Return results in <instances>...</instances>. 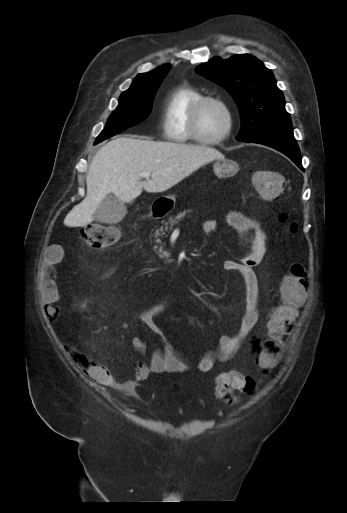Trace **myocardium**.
Returning <instances> with one entry per match:
<instances>
[{
	"label": "myocardium",
	"instance_id": "obj_1",
	"mask_svg": "<svg viewBox=\"0 0 347 513\" xmlns=\"http://www.w3.org/2000/svg\"><path fill=\"white\" fill-rule=\"evenodd\" d=\"M209 102L217 103L223 107L227 115V128L223 134L216 138H205L199 131V116L203 106ZM234 128V112L230 104L219 97L204 95L194 105L190 113L189 130L191 136L198 142L204 145H217L225 141L232 133Z\"/></svg>",
	"mask_w": 347,
	"mask_h": 513
}]
</instances>
